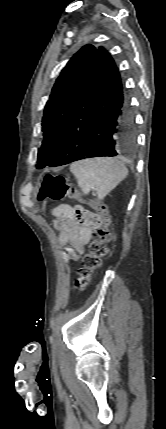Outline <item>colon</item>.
<instances>
[{"label":"colon","instance_id":"obj_1","mask_svg":"<svg viewBox=\"0 0 166 429\" xmlns=\"http://www.w3.org/2000/svg\"><path fill=\"white\" fill-rule=\"evenodd\" d=\"M75 196H77V192L66 178L54 174L46 176L39 192L40 200L51 199L53 201H61L66 197ZM89 200L94 203L98 210L101 225L94 232V240L89 246V252L82 260L74 281V288L80 291L88 286L94 272L100 267L102 258L107 253V244L111 239L109 232L111 218L107 206L95 198H90Z\"/></svg>","mask_w":166,"mask_h":429}]
</instances>
